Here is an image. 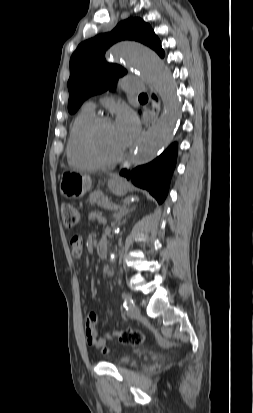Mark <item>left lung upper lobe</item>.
Listing matches in <instances>:
<instances>
[{"instance_id": "left-lung-upper-lobe-1", "label": "left lung upper lobe", "mask_w": 253, "mask_h": 413, "mask_svg": "<svg viewBox=\"0 0 253 413\" xmlns=\"http://www.w3.org/2000/svg\"><path fill=\"white\" fill-rule=\"evenodd\" d=\"M121 40L138 41L164 57L160 40L151 26L140 18L121 21L110 33L82 42L70 59L68 111L71 114L88 97L114 89L118 78L126 73L123 67L107 63L104 57L106 50Z\"/></svg>"}]
</instances>
